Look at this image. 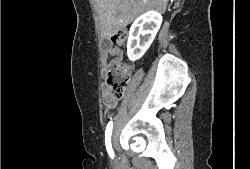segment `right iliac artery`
I'll return each mask as SVG.
<instances>
[{
    "instance_id": "1",
    "label": "right iliac artery",
    "mask_w": 250,
    "mask_h": 169,
    "mask_svg": "<svg viewBox=\"0 0 250 169\" xmlns=\"http://www.w3.org/2000/svg\"><path fill=\"white\" fill-rule=\"evenodd\" d=\"M112 129H113V122L110 121L107 124L106 131H105V144H106V149L111 158H114V151L112 149V144H111V135H112Z\"/></svg>"
}]
</instances>
